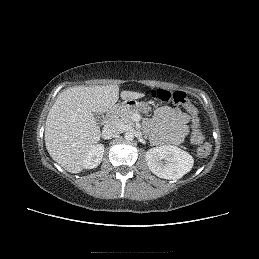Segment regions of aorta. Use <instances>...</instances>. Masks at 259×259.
<instances>
[{
	"label": "aorta",
	"instance_id": "obj_1",
	"mask_svg": "<svg viewBox=\"0 0 259 259\" xmlns=\"http://www.w3.org/2000/svg\"><path fill=\"white\" fill-rule=\"evenodd\" d=\"M125 140L132 141L134 139V133L132 131H128L124 135Z\"/></svg>",
	"mask_w": 259,
	"mask_h": 259
}]
</instances>
